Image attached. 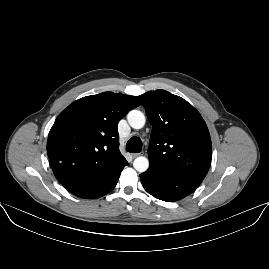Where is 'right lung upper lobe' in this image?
Wrapping results in <instances>:
<instances>
[{
  "label": "right lung upper lobe",
  "mask_w": 269,
  "mask_h": 269,
  "mask_svg": "<svg viewBox=\"0 0 269 269\" xmlns=\"http://www.w3.org/2000/svg\"><path fill=\"white\" fill-rule=\"evenodd\" d=\"M139 105L134 96L103 92L78 99L63 110L47 141L57 180L63 184L100 176L123 160L118 122Z\"/></svg>",
  "instance_id": "1"
}]
</instances>
